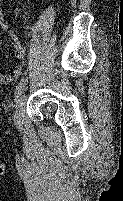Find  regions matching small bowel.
<instances>
[{
	"label": "small bowel",
	"instance_id": "obj_1",
	"mask_svg": "<svg viewBox=\"0 0 123 201\" xmlns=\"http://www.w3.org/2000/svg\"><path fill=\"white\" fill-rule=\"evenodd\" d=\"M0 26L4 31H6V33L10 37L12 44L14 46L17 58L20 60H24L26 58V51L22 43L20 42L19 38L17 37V35L13 31L9 30L7 24L3 22L2 20H0ZM20 71H21V66L17 65L16 67H14L11 73L4 75V77L9 79L12 76L17 75Z\"/></svg>",
	"mask_w": 123,
	"mask_h": 201
}]
</instances>
